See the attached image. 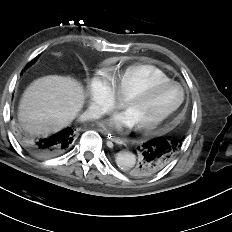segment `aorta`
<instances>
[{
    "label": "aorta",
    "instance_id": "obj_1",
    "mask_svg": "<svg viewBox=\"0 0 232 232\" xmlns=\"http://www.w3.org/2000/svg\"><path fill=\"white\" fill-rule=\"evenodd\" d=\"M116 163L121 169L132 168L136 163V156L130 151H120L116 155Z\"/></svg>",
    "mask_w": 232,
    "mask_h": 232
}]
</instances>
